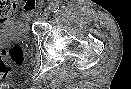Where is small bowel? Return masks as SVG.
<instances>
[{"label":"small bowel","instance_id":"c3829d8e","mask_svg":"<svg viewBox=\"0 0 131 89\" xmlns=\"http://www.w3.org/2000/svg\"><path fill=\"white\" fill-rule=\"evenodd\" d=\"M35 10V1L34 0H26L23 4L16 5L13 3L12 5V14L11 15H23L30 16L34 13ZM11 17L6 11L0 10V24H10Z\"/></svg>","mask_w":131,"mask_h":89}]
</instances>
